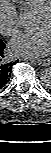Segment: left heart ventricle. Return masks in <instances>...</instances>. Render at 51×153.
<instances>
[{
  "mask_svg": "<svg viewBox=\"0 0 51 153\" xmlns=\"http://www.w3.org/2000/svg\"><path fill=\"white\" fill-rule=\"evenodd\" d=\"M35 28L38 30L45 29L51 31V18L38 14L35 22Z\"/></svg>",
  "mask_w": 51,
  "mask_h": 153,
  "instance_id": "1",
  "label": "left heart ventricle"
}]
</instances>
